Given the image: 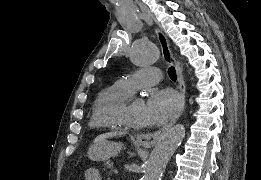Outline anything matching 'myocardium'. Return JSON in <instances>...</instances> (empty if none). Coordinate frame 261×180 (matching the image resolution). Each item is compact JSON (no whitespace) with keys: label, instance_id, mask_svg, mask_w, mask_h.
<instances>
[{"label":"myocardium","instance_id":"myocardium-1","mask_svg":"<svg viewBox=\"0 0 261 180\" xmlns=\"http://www.w3.org/2000/svg\"><path fill=\"white\" fill-rule=\"evenodd\" d=\"M133 97V95H128L125 99L124 105L119 107L114 114V121H115V128L119 134V136L131 139H141L147 134H150L154 127L150 125L149 128L145 132H138L134 128L126 125L123 120L121 119V114L126 110L128 106L129 100Z\"/></svg>","mask_w":261,"mask_h":180}]
</instances>
